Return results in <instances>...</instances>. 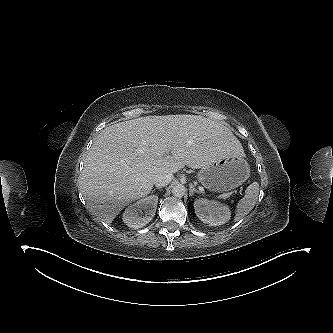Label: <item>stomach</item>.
<instances>
[{
  "label": "stomach",
  "instance_id": "stomach-1",
  "mask_svg": "<svg viewBox=\"0 0 333 333\" xmlns=\"http://www.w3.org/2000/svg\"><path fill=\"white\" fill-rule=\"evenodd\" d=\"M250 176L247 161L241 157H227L201 168L199 182L211 191H227L242 185Z\"/></svg>",
  "mask_w": 333,
  "mask_h": 333
}]
</instances>
